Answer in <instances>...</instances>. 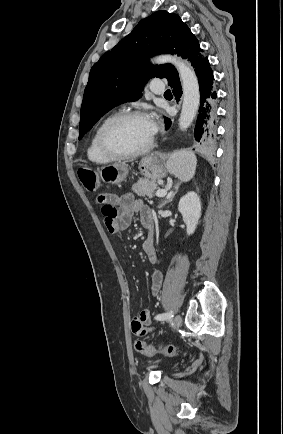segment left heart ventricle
<instances>
[{
  "label": "left heart ventricle",
  "instance_id": "b2bd125f",
  "mask_svg": "<svg viewBox=\"0 0 283 434\" xmlns=\"http://www.w3.org/2000/svg\"><path fill=\"white\" fill-rule=\"evenodd\" d=\"M151 138L147 118L124 121L116 125L108 136L111 146L121 152L140 150L149 143Z\"/></svg>",
  "mask_w": 283,
  "mask_h": 434
}]
</instances>
